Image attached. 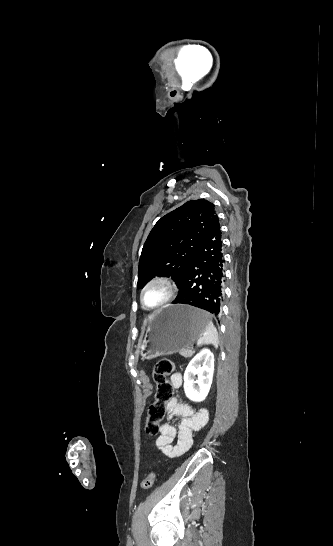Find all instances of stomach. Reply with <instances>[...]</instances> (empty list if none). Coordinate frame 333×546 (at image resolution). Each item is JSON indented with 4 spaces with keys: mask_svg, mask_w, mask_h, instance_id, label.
Returning <instances> with one entry per match:
<instances>
[{
    "mask_svg": "<svg viewBox=\"0 0 333 546\" xmlns=\"http://www.w3.org/2000/svg\"><path fill=\"white\" fill-rule=\"evenodd\" d=\"M209 315L188 305H171L155 312L138 351L154 359L190 348L205 333Z\"/></svg>",
    "mask_w": 333,
    "mask_h": 546,
    "instance_id": "0dacf381",
    "label": "stomach"
}]
</instances>
